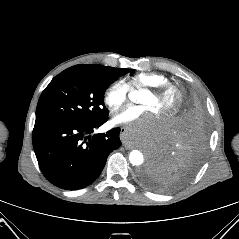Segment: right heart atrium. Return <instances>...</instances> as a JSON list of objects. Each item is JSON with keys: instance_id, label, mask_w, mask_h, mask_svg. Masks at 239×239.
Masks as SVG:
<instances>
[{"instance_id": "d8ad5b80", "label": "right heart atrium", "mask_w": 239, "mask_h": 239, "mask_svg": "<svg viewBox=\"0 0 239 239\" xmlns=\"http://www.w3.org/2000/svg\"><path fill=\"white\" fill-rule=\"evenodd\" d=\"M129 89V85L124 80L112 82L104 92V103L112 111L119 109L126 102Z\"/></svg>"}]
</instances>
